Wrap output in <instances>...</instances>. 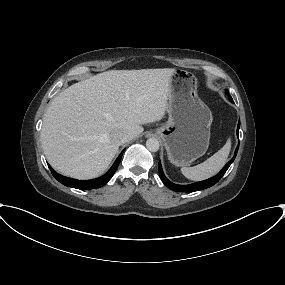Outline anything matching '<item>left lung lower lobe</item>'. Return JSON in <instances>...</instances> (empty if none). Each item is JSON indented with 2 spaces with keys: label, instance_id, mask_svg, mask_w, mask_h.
<instances>
[{
  "label": "left lung lower lobe",
  "instance_id": "obj_1",
  "mask_svg": "<svg viewBox=\"0 0 285 285\" xmlns=\"http://www.w3.org/2000/svg\"><path fill=\"white\" fill-rule=\"evenodd\" d=\"M229 99L232 101V98L229 97ZM240 127V122L238 123V127H237V132L239 130ZM239 145L236 148V152L233 156V158L223 167V169L214 177L209 178L207 180L204 181H200V182H196L193 184H189V185H177L174 184L172 182H170L164 175L162 167H161V163H159L158 165V171H159V175L160 178L162 180V182L171 190L173 191H178V192H195V191H199L205 188H209L211 186H213L215 183H217L222 176L225 174V172L227 171V169L229 168V166L231 165V163L233 162V160L236 157V153L238 151Z\"/></svg>",
  "mask_w": 285,
  "mask_h": 285
}]
</instances>
